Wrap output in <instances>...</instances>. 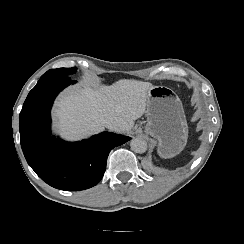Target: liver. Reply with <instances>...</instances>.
Wrapping results in <instances>:
<instances>
[{
  "instance_id": "1",
  "label": "liver",
  "mask_w": 244,
  "mask_h": 244,
  "mask_svg": "<svg viewBox=\"0 0 244 244\" xmlns=\"http://www.w3.org/2000/svg\"><path fill=\"white\" fill-rule=\"evenodd\" d=\"M151 88V83L127 80L100 86L99 91L70 89L56 104L55 121L69 138L98 131L103 128L102 119H112L121 124L120 131H128L146 113Z\"/></svg>"
}]
</instances>
